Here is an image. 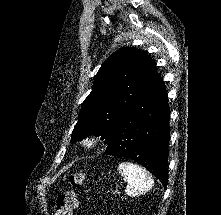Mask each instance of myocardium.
<instances>
[{"label": "myocardium", "mask_w": 221, "mask_h": 215, "mask_svg": "<svg viewBox=\"0 0 221 215\" xmlns=\"http://www.w3.org/2000/svg\"><path fill=\"white\" fill-rule=\"evenodd\" d=\"M99 143V137L96 135H88L82 141L81 144L86 149H93Z\"/></svg>", "instance_id": "myocardium-1"}]
</instances>
